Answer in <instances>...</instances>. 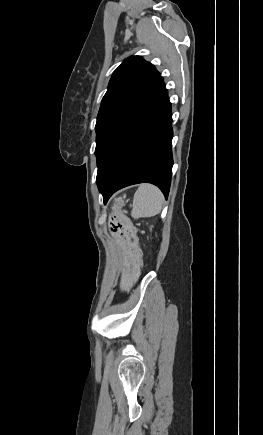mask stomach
Instances as JSON below:
<instances>
[{"mask_svg":"<svg viewBox=\"0 0 263 435\" xmlns=\"http://www.w3.org/2000/svg\"><path fill=\"white\" fill-rule=\"evenodd\" d=\"M125 197L115 199L113 205L114 216H106V225H109V233H114L116 246L121 247L122 252H126L127 262H140L141 255L140 239L136 233V224H133V216H125L124 205ZM121 277L135 276V269L121 268L119 271ZM122 288H137V279H122Z\"/></svg>","mask_w":263,"mask_h":435,"instance_id":"1","label":"stomach"}]
</instances>
